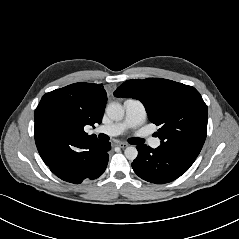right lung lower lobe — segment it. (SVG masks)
Segmentation results:
<instances>
[{"label": "right lung lower lobe", "mask_w": 239, "mask_h": 239, "mask_svg": "<svg viewBox=\"0 0 239 239\" xmlns=\"http://www.w3.org/2000/svg\"><path fill=\"white\" fill-rule=\"evenodd\" d=\"M110 142L74 141L60 146L45 164L60 179L79 184L96 179L108 164Z\"/></svg>", "instance_id": "1"}]
</instances>
